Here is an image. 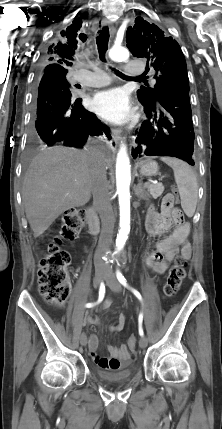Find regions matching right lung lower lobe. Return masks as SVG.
Returning <instances> with one entry per match:
<instances>
[{
	"instance_id": "1",
	"label": "right lung lower lobe",
	"mask_w": 222,
	"mask_h": 429,
	"mask_svg": "<svg viewBox=\"0 0 222 429\" xmlns=\"http://www.w3.org/2000/svg\"><path fill=\"white\" fill-rule=\"evenodd\" d=\"M35 103V132L43 145L63 144L81 148L89 136L111 139L109 128L94 113L86 110L81 99L53 74L39 78Z\"/></svg>"
}]
</instances>
